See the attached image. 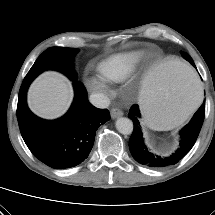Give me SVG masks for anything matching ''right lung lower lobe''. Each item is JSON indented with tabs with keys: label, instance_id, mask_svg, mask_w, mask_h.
I'll use <instances>...</instances> for the list:
<instances>
[{
	"label": "right lung lower lobe",
	"instance_id": "right-lung-lower-lobe-1",
	"mask_svg": "<svg viewBox=\"0 0 215 215\" xmlns=\"http://www.w3.org/2000/svg\"><path fill=\"white\" fill-rule=\"evenodd\" d=\"M30 83L23 80L17 106L18 124L26 145L37 159L51 168L77 166L88 157L96 130L110 119L109 111L89 103L83 84L75 81V97L69 111L57 120H43L27 107L26 92Z\"/></svg>",
	"mask_w": 215,
	"mask_h": 215
}]
</instances>
